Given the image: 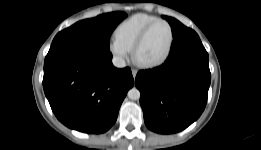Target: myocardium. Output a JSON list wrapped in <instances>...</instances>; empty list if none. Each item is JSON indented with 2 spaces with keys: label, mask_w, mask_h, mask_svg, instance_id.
<instances>
[{
  "label": "myocardium",
  "mask_w": 261,
  "mask_h": 150,
  "mask_svg": "<svg viewBox=\"0 0 261 150\" xmlns=\"http://www.w3.org/2000/svg\"><path fill=\"white\" fill-rule=\"evenodd\" d=\"M159 23H164L169 28L170 39H169V45H168L167 51L161 58H159L157 60L142 61L138 57V52H139L141 46L143 45V43L145 42L151 29ZM173 44H174V30H173L172 25L165 19H157V20L151 22L149 25H147L144 28V30L140 33V35L138 36V38L135 41L133 48H132L133 59L136 62V64H138L139 66H141L143 68H154V67L160 66L163 63H165L167 61V59L169 58V56L172 52V49H173Z\"/></svg>",
  "instance_id": "1"
}]
</instances>
